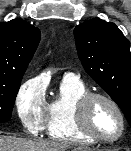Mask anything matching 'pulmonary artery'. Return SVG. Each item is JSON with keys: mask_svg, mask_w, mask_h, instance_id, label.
<instances>
[{"mask_svg": "<svg viewBox=\"0 0 131 151\" xmlns=\"http://www.w3.org/2000/svg\"><path fill=\"white\" fill-rule=\"evenodd\" d=\"M64 77L78 78V76H77L75 73H73V72H66V73L64 74Z\"/></svg>", "mask_w": 131, "mask_h": 151, "instance_id": "1", "label": "pulmonary artery"}]
</instances>
